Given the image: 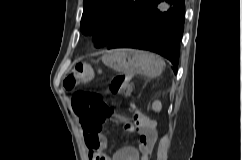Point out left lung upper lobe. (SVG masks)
Wrapping results in <instances>:
<instances>
[{"label": "left lung upper lobe", "mask_w": 242, "mask_h": 160, "mask_svg": "<svg viewBox=\"0 0 242 160\" xmlns=\"http://www.w3.org/2000/svg\"><path fill=\"white\" fill-rule=\"evenodd\" d=\"M150 0H84L81 31L94 34L96 47L108 46L138 18Z\"/></svg>", "instance_id": "left-lung-upper-lobe-1"}]
</instances>
